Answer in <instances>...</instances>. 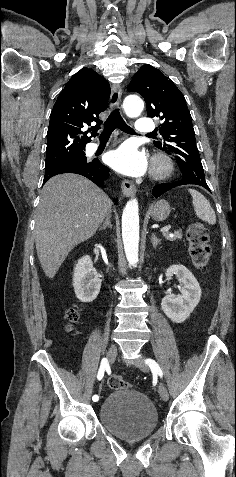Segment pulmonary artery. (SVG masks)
<instances>
[{"label":"pulmonary artery","mask_w":236,"mask_h":477,"mask_svg":"<svg viewBox=\"0 0 236 477\" xmlns=\"http://www.w3.org/2000/svg\"><path fill=\"white\" fill-rule=\"evenodd\" d=\"M155 128V125L152 120L149 118H140L137 120L135 125V132L141 134H149Z\"/></svg>","instance_id":"obj_1"}]
</instances>
